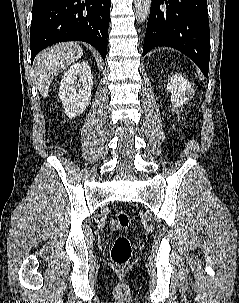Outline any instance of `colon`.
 Instances as JSON below:
<instances>
[{"label": "colon", "mask_w": 239, "mask_h": 303, "mask_svg": "<svg viewBox=\"0 0 239 303\" xmlns=\"http://www.w3.org/2000/svg\"><path fill=\"white\" fill-rule=\"evenodd\" d=\"M116 222L119 228L125 229L130 224L129 215L126 212L120 211L116 215ZM132 256V244L130 239L121 235L118 236L111 248V260L119 267L127 265Z\"/></svg>", "instance_id": "5ec220e1"}]
</instances>
